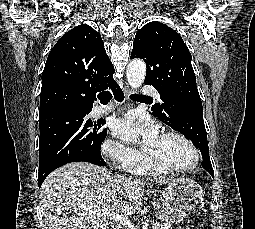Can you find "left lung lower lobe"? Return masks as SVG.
I'll return each instance as SVG.
<instances>
[{
    "label": "left lung lower lobe",
    "mask_w": 255,
    "mask_h": 229,
    "mask_svg": "<svg viewBox=\"0 0 255 229\" xmlns=\"http://www.w3.org/2000/svg\"><path fill=\"white\" fill-rule=\"evenodd\" d=\"M175 117L180 122H189V120L192 118L193 120L190 122L192 129H195L199 133H206L203 121L202 103H194L187 106L183 111L176 112ZM202 156V167L214 178V171L211 165L209 154H204Z\"/></svg>",
    "instance_id": "obj_1"
}]
</instances>
